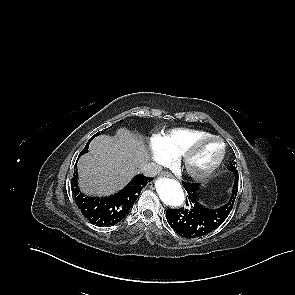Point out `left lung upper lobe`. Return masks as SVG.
Listing matches in <instances>:
<instances>
[{
  "instance_id": "1",
  "label": "left lung upper lobe",
  "mask_w": 295,
  "mask_h": 295,
  "mask_svg": "<svg viewBox=\"0 0 295 295\" xmlns=\"http://www.w3.org/2000/svg\"><path fill=\"white\" fill-rule=\"evenodd\" d=\"M228 169H229L230 171H237V170H236V167H235V162H230V163L228 164Z\"/></svg>"
}]
</instances>
